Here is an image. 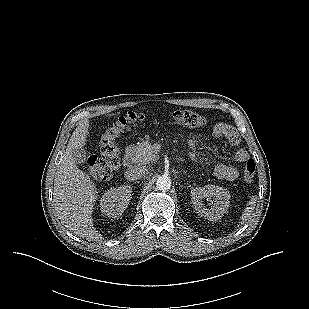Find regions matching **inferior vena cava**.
Instances as JSON below:
<instances>
[{"instance_id":"obj_1","label":"inferior vena cava","mask_w":309,"mask_h":309,"mask_svg":"<svg viewBox=\"0 0 309 309\" xmlns=\"http://www.w3.org/2000/svg\"><path fill=\"white\" fill-rule=\"evenodd\" d=\"M147 169L145 166H133L125 172V178L128 181H136L146 174Z\"/></svg>"}]
</instances>
